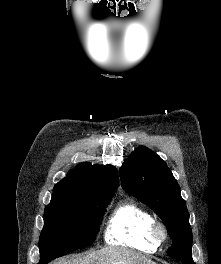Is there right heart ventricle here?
<instances>
[{
    "label": "right heart ventricle",
    "instance_id": "e07e8e85",
    "mask_svg": "<svg viewBox=\"0 0 221 264\" xmlns=\"http://www.w3.org/2000/svg\"><path fill=\"white\" fill-rule=\"evenodd\" d=\"M152 215L134 201H122L110 214L104 240L109 245L123 246L153 253L159 244L151 236Z\"/></svg>",
    "mask_w": 221,
    "mask_h": 264
}]
</instances>
